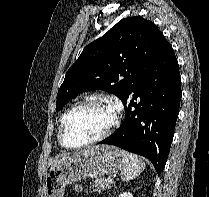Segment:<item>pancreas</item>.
<instances>
[{
    "label": "pancreas",
    "mask_w": 209,
    "mask_h": 197,
    "mask_svg": "<svg viewBox=\"0 0 209 197\" xmlns=\"http://www.w3.org/2000/svg\"><path fill=\"white\" fill-rule=\"evenodd\" d=\"M91 188H92L91 192L100 193L101 191L109 189L110 183H108L105 178H99L92 182Z\"/></svg>",
    "instance_id": "pancreas-1"
}]
</instances>
